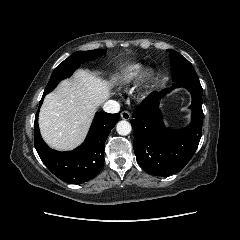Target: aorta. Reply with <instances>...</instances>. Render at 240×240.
I'll list each match as a JSON object with an SVG mask.
<instances>
[{
	"label": "aorta",
	"mask_w": 240,
	"mask_h": 240,
	"mask_svg": "<svg viewBox=\"0 0 240 240\" xmlns=\"http://www.w3.org/2000/svg\"><path fill=\"white\" fill-rule=\"evenodd\" d=\"M131 130V124L126 120L119 121L116 125V131L119 135L126 136L130 134Z\"/></svg>",
	"instance_id": "1"
}]
</instances>
